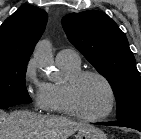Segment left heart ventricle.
Segmentation results:
<instances>
[{
  "label": "left heart ventricle",
  "mask_w": 141,
  "mask_h": 139,
  "mask_svg": "<svg viewBox=\"0 0 141 139\" xmlns=\"http://www.w3.org/2000/svg\"><path fill=\"white\" fill-rule=\"evenodd\" d=\"M75 101L82 113L88 116H99L108 109L110 94L102 80L88 76L76 86Z\"/></svg>",
  "instance_id": "b2bd125f"
}]
</instances>
